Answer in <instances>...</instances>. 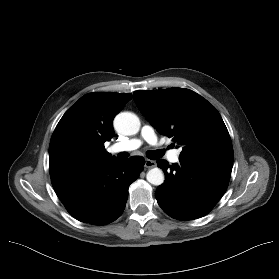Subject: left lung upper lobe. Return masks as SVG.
<instances>
[{
    "mask_svg": "<svg viewBox=\"0 0 279 279\" xmlns=\"http://www.w3.org/2000/svg\"><path fill=\"white\" fill-rule=\"evenodd\" d=\"M133 94L147 120L182 146L179 158L233 162L228 130L219 112L199 94L183 88Z\"/></svg>",
    "mask_w": 279,
    "mask_h": 279,
    "instance_id": "1",
    "label": "left lung upper lobe"
}]
</instances>
